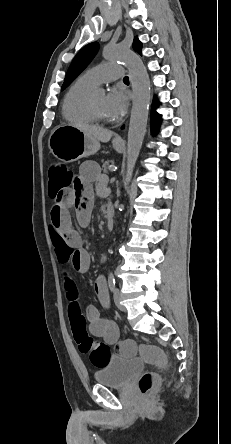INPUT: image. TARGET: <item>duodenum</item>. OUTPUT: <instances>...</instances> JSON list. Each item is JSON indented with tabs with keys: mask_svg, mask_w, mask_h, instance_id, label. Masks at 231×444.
Masks as SVG:
<instances>
[{
	"mask_svg": "<svg viewBox=\"0 0 231 444\" xmlns=\"http://www.w3.org/2000/svg\"><path fill=\"white\" fill-rule=\"evenodd\" d=\"M106 222H107V229L108 230L113 229V226H114V212H113V210L111 208L107 210Z\"/></svg>",
	"mask_w": 231,
	"mask_h": 444,
	"instance_id": "410a0bca",
	"label": "duodenum"
}]
</instances>
